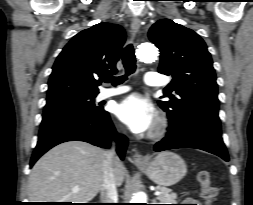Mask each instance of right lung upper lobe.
Wrapping results in <instances>:
<instances>
[{
  "label": "right lung upper lobe",
  "instance_id": "cb5924a9",
  "mask_svg": "<svg viewBox=\"0 0 253 205\" xmlns=\"http://www.w3.org/2000/svg\"><path fill=\"white\" fill-rule=\"evenodd\" d=\"M125 40L123 28L111 23H99L75 35L53 65L47 102L97 95L99 81L95 77L117 71Z\"/></svg>",
  "mask_w": 253,
  "mask_h": 205
}]
</instances>
